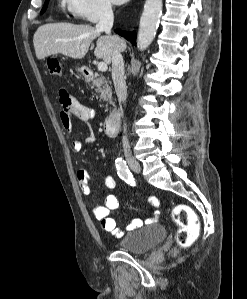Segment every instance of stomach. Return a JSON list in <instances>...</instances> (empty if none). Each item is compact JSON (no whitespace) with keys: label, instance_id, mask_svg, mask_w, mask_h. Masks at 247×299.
<instances>
[{"label":"stomach","instance_id":"0dacf381","mask_svg":"<svg viewBox=\"0 0 247 299\" xmlns=\"http://www.w3.org/2000/svg\"><path fill=\"white\" fill-rule=\"evenodd\" d=\"M77 70H78L79 72H81L83 75H84L85 72H86V70H85L84 68H82V67H81V68H78Z\"/></svg>","mask_w":247,"mask_h":299}]
</instances>
